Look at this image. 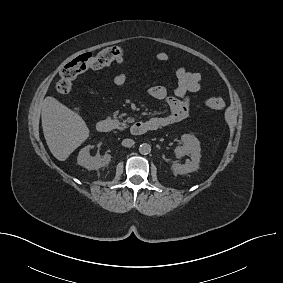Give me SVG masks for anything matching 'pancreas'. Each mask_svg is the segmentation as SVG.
Here are the masks:
<instances>
[{
	"label": "pancreas",
	"instance_id": "1",
	"mask_svg": "<svg viewBox=\"0 0 283 283\" xmlns=\"http://www.w3.org/2000/svg\"><path fill=\"white\" fill-rule=\"evenodd\" d=\"M116 122H117V128L119 130H124L127 127V123L134 122V119L129 117L127 120H125L123 122H119L118 120H116Z\"/></svg>",
	"mask_w": 283,
	"mask_h": 283
}]
</instances>
